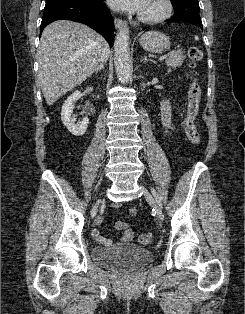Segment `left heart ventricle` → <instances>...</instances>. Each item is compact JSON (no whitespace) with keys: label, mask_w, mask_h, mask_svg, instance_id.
<instances>
[{"label":"left heart ventricle","mask_w":245,"mask_h":314,"mask_svg":"<svg viewBox=\"0 0 245 314\" xmlns=\"http://www.w3.org/2000/svg\"><path fill=\"white\" fill-rule=\"evenodd\" d=\"M161 9L162 7L158 0H148L141 14L146 16H152L158 14Z\"/></svg>","instance_id":"left-heart-ventricle-1"}]
</instances>
